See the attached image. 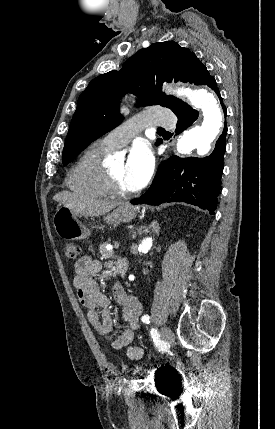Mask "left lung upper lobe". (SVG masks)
I'll use <instances>...</instances> for the list:
<instances>
[{
    "label": "left lung upper lobe",
    "instance_id": "obj_1",
    "mask_svg": "<svg viewBox=\"0 0 275 429\" xmlns=\"http://www.w3.org/2000/svg\"><path fill=\"white\" fill-rule=\"evenodd\" d=\"M203 67L189 49L166 41L139 50L119 71L93 79L78 99L63 149V164L67 165L92 141L122 122L118 100L125 93L137 95L142 106L161 105L175 111L185 103L155 89L164 81L172 80L197 84ZM161 143L162 139H158L157 144Z\"/></svg>",
    "mask_w": 275,
    "mask_h": 429
}]
</instances>
